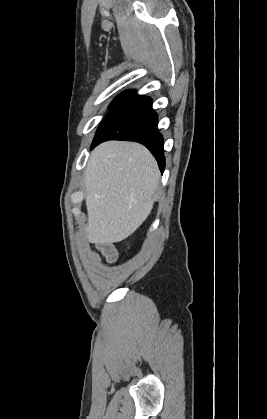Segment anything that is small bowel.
<instances>
[{"instance_id":"obj_1","label":"small bowel","mask_w":267,"mask_h":419,"mask_svg":"<svg viewBox=\"0 0 267 419\" xmlns=\"http://www.w3.org/2000/svg\"><path fill=\"white\" fill-rule=\"evenodd\" d=\"M97 249L105 256L106 260L110 264H114L118 261L119 254L113 244L109 242H102L97 245ZM90 257H91L92 262L95 265H98L99 263L98 256L92 252L90 254Z\"/></svg>"}]
</instances>
